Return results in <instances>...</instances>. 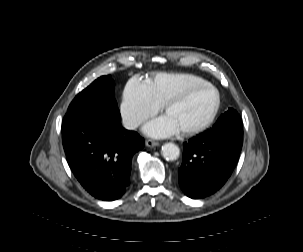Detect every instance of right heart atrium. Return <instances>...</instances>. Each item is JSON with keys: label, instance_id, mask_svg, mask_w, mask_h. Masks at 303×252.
<instances>
[{"label": "right heart atrium", "instance_id": "obj_1", "mask_svg": "<svg viewBox=\"0 0 303 252\" xmlns=\"http://www.w3.org/2000/svg\"><path fill=\"white\" fill-rule=\"evenodd\" d=\"M159 109L160 105L149 96L144 83L135 78L127 83L119 106L120 117L126 128H137Z\"/></svg>", "mask_w": 303, "mask_h": 252}]
</instances>
